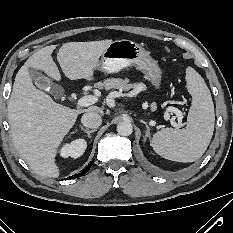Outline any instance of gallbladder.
<instances>
[{
  "mask_svg": "<svg viewBox=\"0 0 233 233\" xmlns=\"http://www.w3.org/2000/svg\"><path fill=\"white\" fill-rule=\"evenodd\" d=\"M28 71L30 77L34 80L35 84L40 89H49V92L52 93L55 96V98H60L63 95V88L58 84H54L48 77L43 75L41 72L32 68H29Z\"/></svg>",
  "mask_w": 233,
  "mask_h": 233,
  "instance_id": "obj_1",
  "label": "gallbladder"
}]
</instances>
